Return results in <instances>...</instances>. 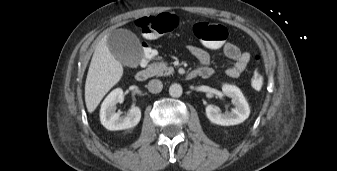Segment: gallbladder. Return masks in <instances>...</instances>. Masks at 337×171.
Instances as JSON below:
<instances>
[{
	"label": "gallbladder",
	"mask_w": 337,
	"mask_h": 171,
	"mask_svg": "<svg viewBox=\"0 0 337 171\" xmlns=\"http://www.w3.org/2000/svg\"><path fill=\"white\" fill-rule=\"evenodd\" d=\"M107 45L112 55L127 66L136 67L143 56L138 38L128 30L119 29L110 33Z\"/></svg>",
	"instance_id": "gallbladder-1"
}]
</instances>
